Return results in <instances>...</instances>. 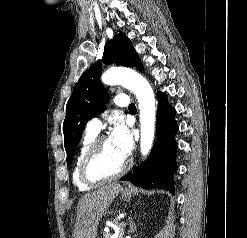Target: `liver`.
Wrapping results in <instances>:
<instances>
[{
	"mask_svg": "<svg viewBox=\"0 0 247 238\" xmlns=\"http://www.w3.org/2000/svg\"><path fill=\"white\" fill-rule=\"evenodd\" d=\"M123 190L118 183L103 186L84 195L77 207L75 238H96L97 225L113 199Z\"/></svg>",
	"mask_w": 247,
	"mask_h": 238,
	"instance_id": "6515ba94",
	"label": "liver"
}]
</instances>
